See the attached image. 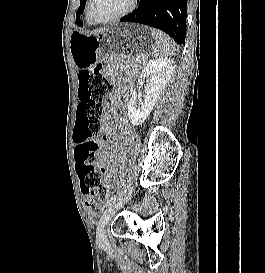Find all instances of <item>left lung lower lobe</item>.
Masks as SVG:
<instances>
[{
    "mask_svg": "<svg viewBox=\"0 0 265 273\" xmlns=\"http://www.w3.org/2000/svg\"><path fill=\"white\" fill-rule=\"evenodd\" d=\"M187 0H140L121 22L145 24L166 32L178 44L185 43Z\"/></svg>",
    "mask_w": 265,
    "mask_h": 273,
    "instance_id": "left-lung-lower-lobe-1",
    "label": "left lung lower lobe"
}]
</instances>
